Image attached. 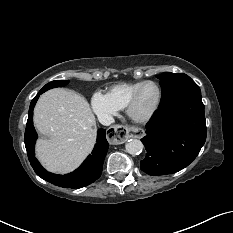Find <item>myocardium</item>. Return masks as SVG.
<instances>
[{
	"instance_id": "f54148a6",
	"label": "myocardium",
	"mask_w": 233,
	"mask_h": 233,
	"mask_svg": "<svg viewBox=\"0 0 233 233\" xmlns=\"http://www.w3.org/2000/svg\"><path fill=\"white\" fill-rule=\"evenodd\" d=\"M147 85H154L157 88V91H158L157 102L149 112H147L145 114H138L135 110L136 105H137V102H138V99H139V96H140L142 89ZM162 98H163V92H162L160 85L157 82L144 81L131 95V97H130V99L125 107L126 114L134 122L145 123V122L149 121L156 114V112L158 111V109L160 108V105L162 103Z\"/></svg>"
}]
</instances>
